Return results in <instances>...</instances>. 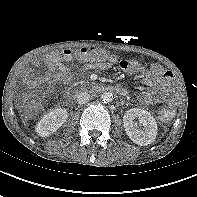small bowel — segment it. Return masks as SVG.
<instances>
[{
  "mask_svg": "<svg viewBox=\"0 0 197 197\" xmlns=\"http://www.w3.org/2000/svg\"><path fill=\"white\" fill-rule=\"evenodd\" d=\"M36 64H40L37 60ZM99 67L104 69L107 67L106 63L87 64L85 67L90 69L92 67ZM127 73H141L142 83L147 90L141 92L138 96L139 101L143 105H152L166 102L171 99L173 93V78L172 75L165 71V69L158 63L152 64L148 69L143 67L137 61L129 60V67L123 68ZM71 79V67L58 62H53L48 59L47 73L44 81L52 84L58 80L69 81Z\"/></svg>",
  "mask_w": 197,
  "mask_h": 197,
  "instance_id": "1",
  "label": "small bowel"
}]
</instances>
